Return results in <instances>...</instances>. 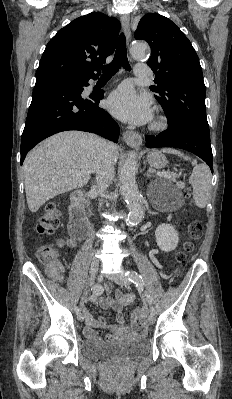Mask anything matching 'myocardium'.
I'll return each instance as SVG.
<instances>
[{
	"mask_svg": "<svg viewBox=\"0 0 232 399\" xmlns=\"http://www.w3.org/2000/svg\"><path fill=\"white\" fill-rule=\"evenodd\" d=\"M169 124V119L166 113L161 109H156V115L153 121L148 126L147 130L150 132H162L167 129Z\"/></svg>",
	"mask_w": 232,
	"mask_h": 399,
	"instance_id": "1",
	"label": "myocardium"
}]
</instances>
